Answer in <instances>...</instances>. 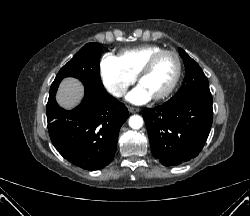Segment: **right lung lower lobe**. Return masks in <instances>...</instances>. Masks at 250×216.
<instances>
[{
    "label": "right lung lower lobe",
    "mask_w": 250,
    "mask_h": 216,
    "mask_svg": "<svg viewBox=\"0 0 250 216\" xmlns=\"http://www.w3.org/2000/svg\"><path fill=\"white\" fill-rule=\"evenodd\" d=\"M55 93L49 94L47 122L57 151L90 171L108 165L116 152L119 130L129 116L125 105L104 89L85 86L82 103L68 111L58 106Z\"/></svg>",
    "instance_id": "obj_1"
}]
</instances>
